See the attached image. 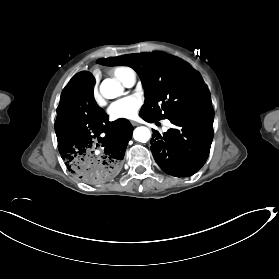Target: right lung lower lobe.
I'll return each instance as SVG.
<instances>
[{"label":"right lung lower lobe","instance_id":"right-lung-lower-lobe-1","mask_svg":"<svg viewBox=\"0 0 279 279\" xmlns=\"http://www.w3.org/2000/svg\"><path fill=\"white\" fill-rule=\"evenodd\" d=\"M93 76L76 74L62 92L55 132L58 149L67 169L90 185L115 179L133 127L126 119L108 121V115L94 100Z\"/></svg>","mask_w":279,"mask_h":279}]
</instances>
